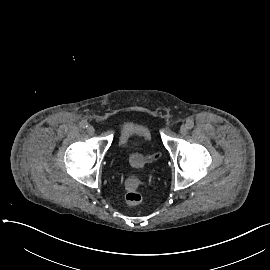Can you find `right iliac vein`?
Segmentation results:
<instances>
[{
	"mask_svg": "<svg viewBox=\"0 0 270 270\" xmlns=\"http://www.w3.org/2000/svg\"><path fill=\"white\" fill-rule=\"evenodd\" d=\"M87 132L89 133V134H94V132H95V129H94V127L93 126H88V128H87Z\"/></svg>",
	"mask_w": 270,
	"mask_h": 270,
	"instance_id": "63e3f726",
	"label": "right iliac vein"
}]
</instances>
